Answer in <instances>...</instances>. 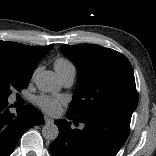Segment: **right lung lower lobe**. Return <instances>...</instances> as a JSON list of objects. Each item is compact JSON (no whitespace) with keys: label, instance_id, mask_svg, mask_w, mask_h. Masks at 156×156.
Segmentation results:
<instances>
[{"label":"right lung lower lobe","instance_id":"98d812e1","mask_svg":"<svg viewBox=\"0 0 156 156\" xmlns=\"http://www.w3.org/2000/svg\"><path fill=\"white\" fill-rule=\"evenodd\" d=\"M7 105V98L0 97V156H9L25 130L44 122L42 113L32 105L20 108L17 116Z\"/></svg>","mask_w":156,"mask_h":156}]
</instances>
